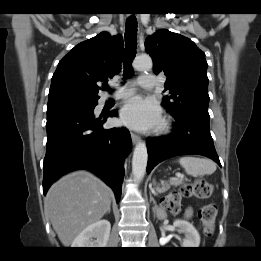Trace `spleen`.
Here are the masks:
<instances>
[{"label": "spleen", "mask_w": 261, "mask_h": 261, "mask_svg": "<svg viewBox=\"0 0 261 261\" xmlns=\"http://www.w3.org/2000/svg\"><path fill=\"white\" fill-rule=\"evenodd\" d=\"M178 162L185 169V172L192 176L210 175L216 171L215 162L206 158L184 156L179 158Z\"/></svg>", "instance_id": "obj_1"}]
</instances>
